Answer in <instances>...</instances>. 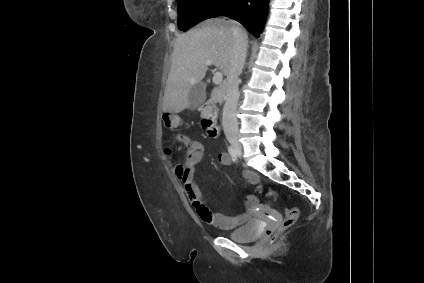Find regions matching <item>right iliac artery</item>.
Segmentation results:
<instances>
[{
	"label": "right iliac artery",
	"mask_w": 424,
	"mask_h": 283,
	"mask_svg": "<svg viewBox=\"0 0 424 283\" xmlns=\"http://www.w3.org/2000/svg\"><path fill=\"white\" fill-rule=\"evenodd\" d=\"M228 152L231 155L233 161H235L236 158H237V156H236V152H235V150H234V148L232 146H229L228 147Z\"/></svg>",
	"instance_id": "82829eb1"
}]
</instances>
